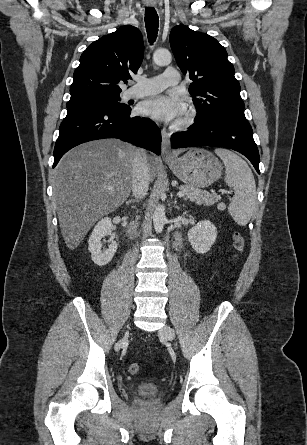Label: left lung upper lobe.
<instances>
[{
    "label": "left lung upper lobe",
    "mask_w": 307,
    "mask_h": 445,
    "mask_svg": "<svg viewBox=\"0 0 307 445\" xmlns=\"http://www.w3.org/2000/svg\"><path fill=\"white\" fill-rule=\"evenodd\" d=\"M170 44L178 66L193 81L189 92L197 110L195 123L225 116L245 119L240 85L225 48L185 25L171 30Z\"/></svg>",
    "instance_id": "obj_1"
}]
</instances>
